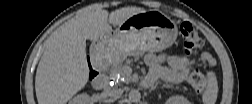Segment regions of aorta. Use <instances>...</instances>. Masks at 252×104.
<instances>
[{"mask_svg": "<svg viewBox=\"0 0 252 104\" xmlns=\"http://www.w3.org/2000/svg\"><path fill=\"white\" fill-rule=\"evenodd\" d=\"M129 101L132 103H138L141 99V93L139 90L133 89L128 94Z\"/></svg>", "mask_w": 252, "mask_h": 104, "instance_id": "1", "label": "aorta"}]
</instances>
